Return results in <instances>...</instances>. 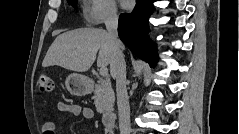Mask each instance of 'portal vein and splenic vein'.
<instances>
[{
  "instance_id": "1",
  "label": "portal vein and splenic vein",
  "mask_w": 239,
  "mask_h": 134,
  "mask_svg": "<svg viewBox=\"0 0 239 134\" xmlns=\"http://www.w3.org/2000/svg\"><path fill=\"white\" fill-rule=\"evenodd\" d=\"M99 73L101 76L106 77L108 75V69L106 67H101Z\"/></svg>"
}]
</instances>
